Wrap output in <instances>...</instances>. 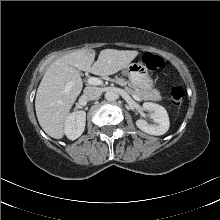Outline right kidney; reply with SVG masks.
Wrapping results in <instances>:
<instances>
[{
  "instance_id": "right-kidney-1",
  "label": "right kidney",
  "mask_w": 220,
  "mask_h": 220,
  "mask_svg": "<svg viewBox=\"0 0 220 220\" xmlns=\"http://www.w3.org/2000/svg\"><path fill=\"white\" fill-rule=\"evenodd\" d=\"M86 113L85 111H76L70 113L65 121V134L68 139L75 140L81 136L85 129Z\"/></svg>"
}]
</instances>
